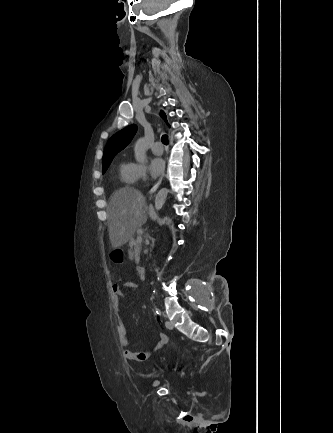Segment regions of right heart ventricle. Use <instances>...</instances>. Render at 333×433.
Here are the masks:
<instances>
[{"label": "right heart ventricle", "mask_w": 333, "mask_h": 433, "mask_svg": "<svg viewBox=\"0 0 333 433\" xmlns=\"http://www.w3.org/2000/svg\"><path fill=\"white\" fill-rule=\"evenodd\" d=\"M119 179L125 186H130L135 183L136 177L133 170V164L126 161H121L118 164Z\"/></svg>", "instance_id": "obj_1"}]
</instances>
